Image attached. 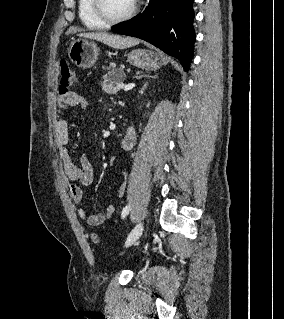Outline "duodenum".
Here are the masks:
<instances>
[{
    "label": "duodenum",
    "instance_id": "1",
    "mask_svg": "<svg viewBox=\"0 0 284 319\" xmlns=\"http://www.w3.org/2000/svg\"><path fill=\"white\" fill-rule=\"evenodd\" d=\"M136 129L134 127L128 128L121 139V147L125 150L131 149L136 142Z\"/></svg>",
    "mask_w": 284,
    "mask_h": 319
}]
</instances>
